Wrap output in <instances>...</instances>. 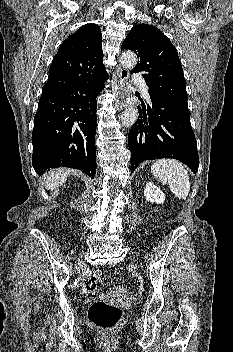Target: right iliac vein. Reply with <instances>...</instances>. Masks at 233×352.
<instances>
[{
    "label": "right iliac vein",
    "instance_id": "right-iliac-vein-1",
    "mask_svg": "<svg viewBox=\"0 0 233 352\" xmlns=\"http://www.w3.org/2000/svg\"><path fill=\"white\" fill-rule=\"evenodd\" d=\"M78 264H79V266H82L83 261H82V260H79Z\"/></svg>",
    "mask_w": 233,
    "mask_h": 352
}]
</instances>
